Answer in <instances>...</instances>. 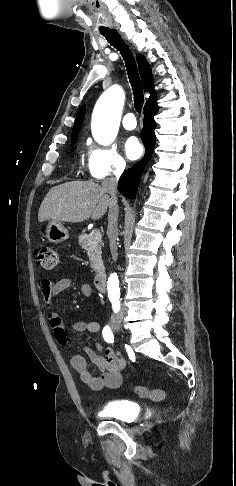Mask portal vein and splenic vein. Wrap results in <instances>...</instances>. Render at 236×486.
<instances>
[{"label": "portal vein and splenic vein", "instance_id": "portal-vein-and-splenic-vein-1", "mask_svg": "<svg viewBox=\"0 0 236 486\" xmlns=\"http://www.w3.org/2000/svg\"><path fill=\"white\" fill-rule=\"evenodd\" d=\"M91 234L95 237L96 240H100L101 239V233L99 230H93L91 232Z\"/></svg>", "mask_w": 236, "mask_h": 486}]
</instances>
